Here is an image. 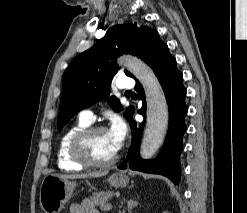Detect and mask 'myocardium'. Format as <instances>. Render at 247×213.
Returning <instances> with one entry per match:
<instances>
[{"instance_id":"obj_1","label":"myocardium","mask_w":247,"mask_h":213,"mask_svg":"<svg viewBox=\"0 0 247 213\" xmlns=\"http://www.w3.org/2000/svg\"><path fill=\"white\" fill-rule=\"evenodd\" d=\"M107 131L104 126H88L78 131L70 143V153L74 161L87 168H102L115 164L119 158L118 152L107 161H97L92 159L87 152L89 140L97 133Z\"/></svg>"}]
</instances>
